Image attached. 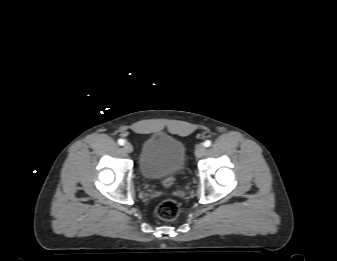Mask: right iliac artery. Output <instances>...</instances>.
<instances>
[{"instance_id": "1", "label": "right iliac artery", "mask_w": 337, "mask_h": 261, "mask_svg": "<svg viewBox=\"0 0 337 261\" xmlns=\"http://www.w3.org/2000/svg\"><path fill=\"white\" fill-rule=\"evenodd\" d=\"M118 144H119V145H124V144H125V141H124L123 139H119V140H118Z\"/></svg>"}]
</instances>
